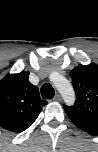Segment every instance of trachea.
<instances>
[{
  "label": "trachea",
  "instance_id": "1",
  "mask_svg": "<svg viewBox=\"0 0 98 152\" xmlns=\"http://www.w3.org/2000/svg\"><path fill=\"white\" fill-rule=\"evenodd\" d=\"M55 91L51 84L45 83L41 87V95L43 99H52Z\"/></svg>",
  "mask_w": 98,
  "mask_h": 152
}]
</instances>
